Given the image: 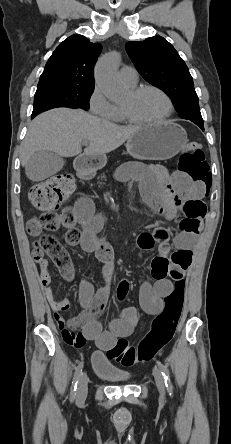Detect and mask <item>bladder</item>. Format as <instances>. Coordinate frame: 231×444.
I'll return each instance as SVG.
<instances>
[{
	"label": "bladder",
	"mask_w": 231,
	"mask_h": 444,
	"mask_svg": "<svg viewBox=\"0 0 231 444\" xmlns=\"http://www.w3.org/2000/svg\"><path fill=\"white\" fill-rule=\"evenodd\" d=\"M94 374L110 382H126L132 375L122 369L117 368L112 360L101 352H95L92 356Z\"/></svg>",
	"instance_id": "bladder-1"
}]
</instances>
